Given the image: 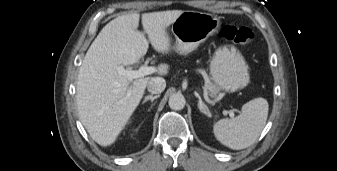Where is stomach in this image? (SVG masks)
<instances>
[{
  "label": "stomach",
  "mask_w": 337,
  "mask_h": 171,
  "mask_svg": "<svg viewBox=\"0 0 337 171\" xmlns=\"http://www.w3.org/2000/svg\"><path fill=\"white\" fill-rule=\"evenodd\" d=\"M220 19L212 14L183 11L172 23V33L176 38L174 49L182 55L194 51L220 27ZM210 74L217 86L227 92L245 88L250 76L248 65L234 46L217 49L210 62Z\"/></svg>",
  "instance_id": "stomach-1"
}]
</instances>
